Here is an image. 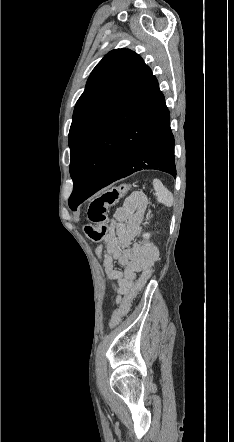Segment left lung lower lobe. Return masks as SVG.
<instances>
[{"label":"left lung lower lobe","instance_id":"1","mask_svg":"<svg viewBox=\"0 0 234 442\" xmlns=\"http://www.w3.org/2000/svg\"><path fill=\"white\" fill-rule=\"evenodd\" d=\"M174 143L164 96L146 66L90 141L69 207L75 211L101 188L142 169L175 177Z\"/></svg>","mask_w":234,"mask_h":442}]
</instances>
